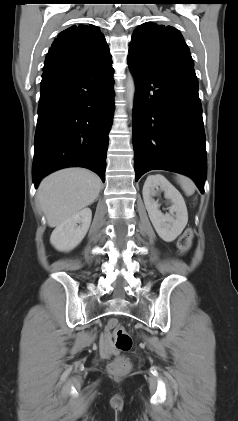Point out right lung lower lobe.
<instances>
[{"label": "right lung lower lobe", "mask_w": 238, "mask_h": 421, "mask_svg": "<svg viewBox=\"0 0 238 421\" xmlns=\"http://www.w3.org/2000/svg\"><path fill=\"white\" fill-rule=\"evenodd\" d=\"M111 64L43 71L32 167L35 188L43 177L65 167L88 168L105 181L114 113Z\"/></svg>", "instance_id": "right-lung-lower-lobe-1"}]
</instances>
